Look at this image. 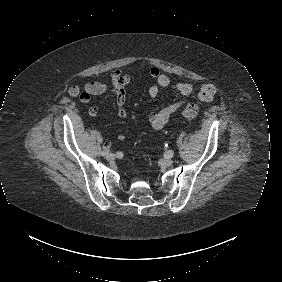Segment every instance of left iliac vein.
Listing matches in <instances>:
<instances>
[{
  "label": "left iliac vein",
  "mask_w": 282,
  "mask_h": 282,
  "mask_svg": "<svg viewBox=\"0 0 282 282\" xmlns=\"http://www.w3.org/2000/svg\"><path fill=\"white\" fill-rule=\"evenodd\" d=\"M173 164V160L170 157H166L162 160V165L165 167H169Z\"/></svg>",
  "instance_id": "4c4485c4"
}]
</instances>
